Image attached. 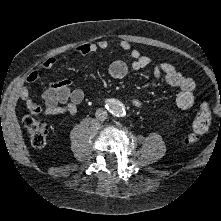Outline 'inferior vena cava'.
I'll return each mask as SVG.
<instances>
[{"instance_id": "1", "label": "inferior vena cava", "mask_w": 221, "mask_h": 221, "mask_svg": "<svg viewBox=\"0 0 221 221\" xmlns=\"http://www.w3.org/2000/svg\"><path fill=\"white\" fill-rule=\"evenodd\" d=\"M95 116L98 120L104 121L107 118L108 114L106 110L100 108L96 110Z\"/></svg>"}]
</instances>
